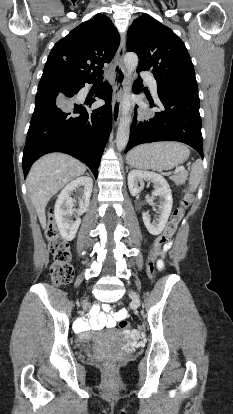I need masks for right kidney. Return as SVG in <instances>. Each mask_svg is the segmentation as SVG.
I'll list each match as a JSON object with an SVG mask.
<instances>
[{"label": "right kidney", "instance_id": "right-kidney-1", "mask_svg": "<svg viewBox=\"0 0 233 414\" xmlns=\"http://www.w3.org/2000/svg\"><path fill=\"white\" fill-rule=\"evenodd\" d=\"M80 187H83V196L79 199L77 219L73 222L70 216L73 213L72 206L75 200L71 197V194ZM92 188L93 180L89 176H82L66 185L56 200L55 221L61 236L67 241L73 240L77 233L81 224L80 216L88 209Z\"/></svg>", "mask_w": 233, "mask_h": 414}]
</instances>
